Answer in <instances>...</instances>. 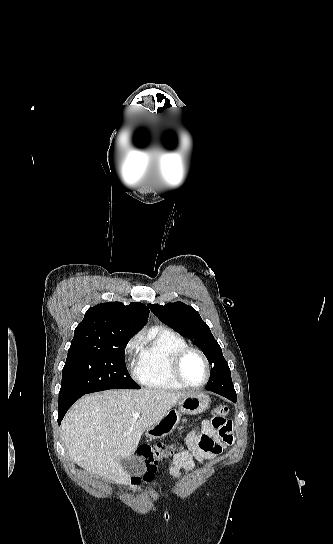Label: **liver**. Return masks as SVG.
Segmentation results:
<instances>
[{
	"label": "liver",
	"mask_w": 333,
	"mask_h": 544,
	"mask_svg": "<svg viewBox=\"0 0 333 544\" xmlns=\"http://www.w3.org/2000/svg\"><path fill=\"white\" fill-rule=\"evenodd\" d=\"M187 395L165 389H140L83 396L62 422L70 458L90 473L127 485L131 475L122 466L121 458L131 456L144 431ZM136 412L140 417L134 419Z\"/></svg>",
	"instance_id": "1"
}]
</instances>
